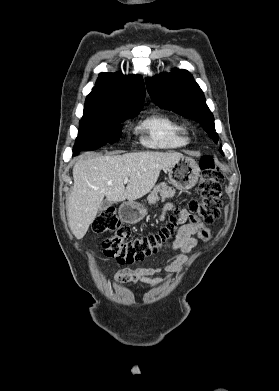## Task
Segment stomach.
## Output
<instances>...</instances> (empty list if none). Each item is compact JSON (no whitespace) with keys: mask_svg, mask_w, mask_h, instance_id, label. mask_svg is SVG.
Wrapping results in <instances>:
<instances>
[{"mask_svg":"<svg viewBox=\"0 0 279 391\" xmlns=\"http://www.w3.org/2000/svg\"><path fill=\"white\" fill-rule=\"evenodd\" d=\"M170 182L179 190H189L194 187L200 176L197 162L189 157H183L168 167ZM147 214V209L133 201L123 203L119 208L120 218L130 224L141 221Z\"/></svg>","mask_w":279,"mask_h":391,"instance_id":"1","label":"stomach"}]
</instances>
